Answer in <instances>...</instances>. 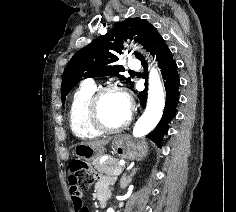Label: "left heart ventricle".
<instances>
[{"instance_id": "obj_1", "label": "left heart ventricle", "mask_w": 236, "mask_h": 212, "mask_svg": "<svg viewBox=\"0 0 236 212\" xmlns=\"http://www.w3.org/2000/svg\"><path fill=\"white\" fill-rule=\"evenodd\" d=\"M102 121L109 127H117L124 122L128 114L127 99L120 93L106 94L100 104Z\"/></svg>"}]
</instances>
